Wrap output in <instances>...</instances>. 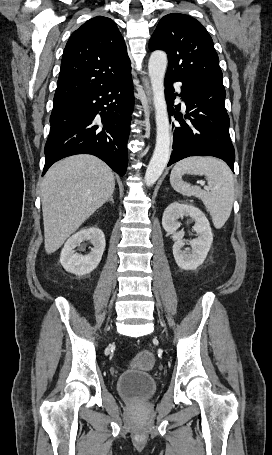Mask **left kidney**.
<instances>
[{
	"label": "left kidney",
	"instance_id": "left-kidney-1",
	"mask_svg": "<svg viewBox=\"0 0 272 455\" xmlns=\"http://www.w3.org/2000/svg\"><path fill=\"white\" fill-rule=\"evenodd\" d=\"M189 216L195 221L193 230L197 233V238L190 240L191 251L182 250L183 231H178L179 218ZM162 226L171 235L173 244V255L177 265L184 270H195L205 260L213 242V234L208 219L205 214L195 206L174 202L170 204L163 213Z\"/></svg>",
	"mask_w": 272,
	"mask_h": 455
}]
</instances>
